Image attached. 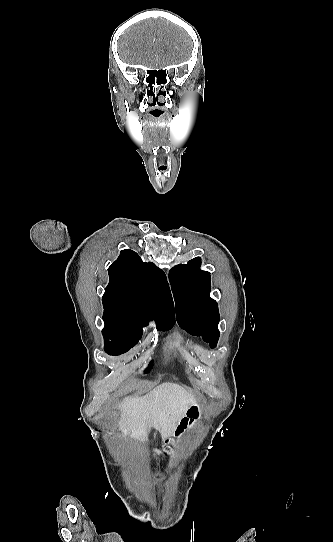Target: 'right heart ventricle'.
I'll use <instances>...</instances> for the list:
<instances>
[{
	"instance_id": "1",
	"label": "right heart ventricle",
	"mask_w": 333,
	"mask_h": 542,
	"mask_svg": "<svg viewBox=\"0 0 333 542\" xmlns=\"http://www.w3.org/2000/svg\"><path fill=\"white\" fill-rule=\"evenodd\" d=\"M175 344H181V339L180 338L176 339Z\"/></svg>"
}]
</instances>
